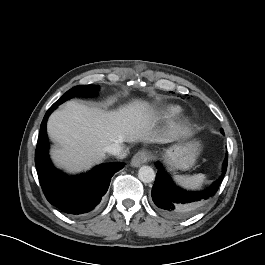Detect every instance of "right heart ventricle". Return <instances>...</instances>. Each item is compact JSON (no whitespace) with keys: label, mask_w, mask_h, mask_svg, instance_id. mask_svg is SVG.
Masks as SVG:
<instances>
[{"label":"right heart ventricle","mask_w":265,"mask_h":265,"mask_svg":"<svg viewBox=\"0 0 265 265\" xmlns=\"http://www.w3.org/2000/svg\"><path fill=\"white\" fill-rule=\"evenodd\" d=\"M181 108L179 106H171L168 108L167 117H173L180 112Z\"/></svg>","instance_id":"e07e8e85"}]
</instances>
